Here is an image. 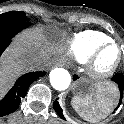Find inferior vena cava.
Returning <instances> with one entry per match:
<instances>
[{"label":"inferior vena cava","mask_w":124,"mask_h":124,"mask_svg":"<svg viewBox=\"0 0 124 124\" xmlns=\"http://www.w3.org/2000/svg\"><path fill=\"white\" fill-rule=\"evenodd\" d=\"M30 63L33 65H39L42 63V61L40 60V58L38 56H33L29 59Z\"/></svg>","instance_id":"inferior-vena-cava-1"}]
</instances>
